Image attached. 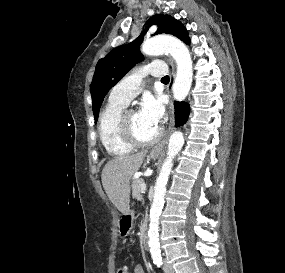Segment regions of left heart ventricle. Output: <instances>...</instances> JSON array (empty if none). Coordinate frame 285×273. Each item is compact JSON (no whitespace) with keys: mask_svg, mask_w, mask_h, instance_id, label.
Wrapping results in <instances>:
<instances>
[{"mask_svg":"<svg viewBox=\"0 0 285 273\" xmlns=\"http://www.w3.org/2000/svg\"><path fill=\"white\" fill-rule=\"evenodd\" d=\"M128 122L132 127L135 135L140 140H150L152 139L158 132L159 127L152 125L145 120H143L138 112H131L128 115Z\"/></svg>","mask_w":285,"mask_h":273,"instance_id":"1","label":"left heart ventricle"}]
</instances>
